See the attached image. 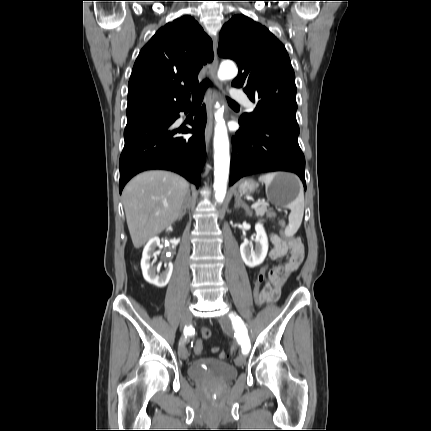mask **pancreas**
Here are the masks:
<instances>
[{"mask_svg":"<svg viewBox=\"0 0 431 431\" xmlns=\"http://www.w3.org/2000/svg\"><path fill=\"white\" fill-rule=\"evenodd\" d=\"M254 211H255L256 216H260V217H263L265 214H267L268 218H272L275 216L274 213L268 211V209L265 205L258 206L256 208H254Z\"/></svg>","mask_w":431,"mask_h":431,"instance_id":"1","label":"pancreas"}]
</instances>
